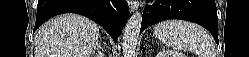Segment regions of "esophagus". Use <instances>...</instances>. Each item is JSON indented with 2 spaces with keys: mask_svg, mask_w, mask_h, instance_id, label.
<instances>
[{
  "mask_svg": "<svg viewBox=\"0 0 249 57\" xmlns=\"http://www.w3.org/2000/svg\"><path fill=\"white\" fill-rule=\"evenodd\" d=\"M141 6V3L139 1H130L129 2V9L130 12H134L135 10H137L139 7Z\"/></svg>",
  "mask_w": 249,
  "mask_h": 57,
  "instance_id": "esophagus-1",
  "label": "esophagus"
}]
</instances>
